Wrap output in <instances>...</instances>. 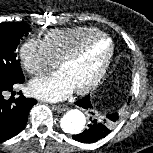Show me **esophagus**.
I'll use <instances>...</instances> for the list:
<instances>
[{"instance_id":"1","label":"esophagus","mask_w":153,"mask_h":153,"mask_svg":"<svg viewBox=\"0 0 153 153\" xmlns=\"http://www.w3.org/2000/svg\"><path fill=\"white\" fill-rule=\"evenodd\" d=\"M53 109L57 110L58 112H63L67 109L66 105H53Z\"/></svg>"}]
</instances>
